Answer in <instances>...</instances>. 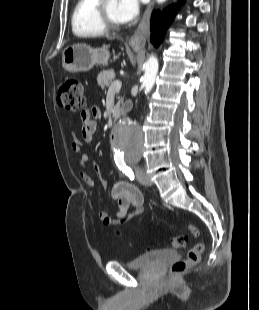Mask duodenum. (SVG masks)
<instances>
[{
  "instance_id": "duodenum-1",
  "label": "duodenum",
  "mask_w": 259,
  "mask_h": 310,
  "mask_svg": "<svg viewBox=\"0 0 259 310\" xmlns=\"http://www.w3.org/2000/svg\"><path fill=\"white\" fill-rule=\"evenodd\" d=\"M122 114V111L121 110H114L113 112V119L114 121L117 120Z\"/></svg>"
}]
</instances>
